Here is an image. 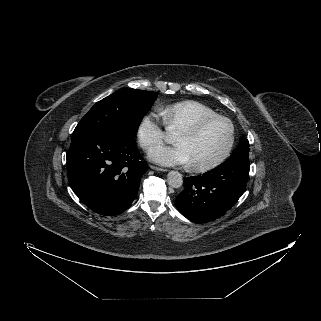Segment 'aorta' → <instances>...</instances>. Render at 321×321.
<instances>
[{
    "label": "aorta",
    "mask_w": 321,
    "mask_h": 321,
    "mask_svg": "<svg viewBox=\"0 0 321 321\" xmlns=\"http://www.w3.org/2000/svg\"><path fill=\"white\" fill-rule=\"evenodd\" d=\"M167 182L172 188H180L183 184L182 175L177 171H170L167 176Z\"/></svg>",
    "instance_id": "762f6f07"
}]
</instances>
